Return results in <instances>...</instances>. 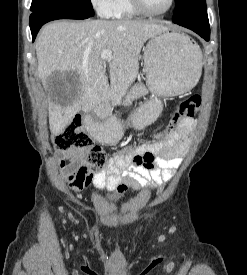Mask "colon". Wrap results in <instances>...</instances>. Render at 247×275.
<instances>
[{
	"mask_svg": "<svg viewBox=\"0 0 247 275\" xmlns=\"http://www.w3.org/2000/svg\"><path fill=\"white\" fill-rule=\"evenodd\" d=\"M200 106L201 98L199 95H191L183 100L173 113L167 130H173L181 120L192 118ZM53 143L60 151L80 155L92 173L101 171L106 164L107 155L105 151L101 147L93 145L92 138L84 130L80 118H75L63 131L58 133L54 137ZM119 155H132V150L124 148ZM126 190L127 185L121 184L118 187L120 193Z\"/></svg>",
	"mask_w": 247,
	"mask_h": 275,
	"instance_id": "5ec220e1",
	"label": "colon"
}]
</instances>
